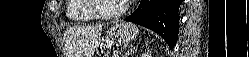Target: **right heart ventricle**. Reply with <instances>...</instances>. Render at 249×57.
<instances>
[{
    "mask_svg": "<svg viewBox=\"0 0 249 57\" xmlns=\"http://www.w3.org/2000/svg\"><path fill=\"white\" fill-rule=\"evenodd\" d=\"M88 0H68L66 7V15L72 21H91L96 16L88 11L86 5Z\"/></svg>",
    "mask_w": 249,
    "mask_h": 57,
    "instance_id": "1",
    "label": "right heart ventricle"
}]
</instances>
